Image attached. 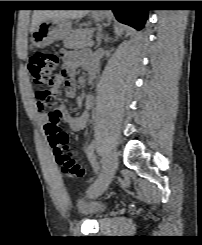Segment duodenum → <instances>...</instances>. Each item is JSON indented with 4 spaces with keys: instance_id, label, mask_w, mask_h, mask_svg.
<instances>
[{
    "instance_id": "1",
    "label": "duodenum",
    "mask_w": 202,
    "mask_h": 245,
    "mask_svg": "<svg viewBox=\"0 0 202 245\" xmlns=\"http://www.w3.org/2000/svg\"><path fill=\"white\" fill-rule=\"evenodd\" d=\"M88 73H89V76L91 77V78H93L94 77V73H95V71L93 70V68H89L88 69Z\"/></svg>"
}]
</instances>
